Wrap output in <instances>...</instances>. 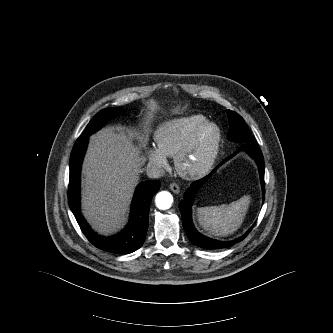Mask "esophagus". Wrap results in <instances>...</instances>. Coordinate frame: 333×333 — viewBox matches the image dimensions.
Wrapping results in <instances>:
<instances>
[{
  "mask_svg": "<svg viewBox=\"0 0 333 333\" xmlns=\"http://www.w3.org/2000/svg\"><path fill=\"white\" fill-rule=\"evenodd\" d=\"M170 189L175 193L178 194L180 192V187L176 183H171L170 184Z\"/></svg>",
  "mask_w": 333,
  "mask_h": 333,
  "instance_id": "obj_1",
  "label": "esophagus"
}]
</instances>
